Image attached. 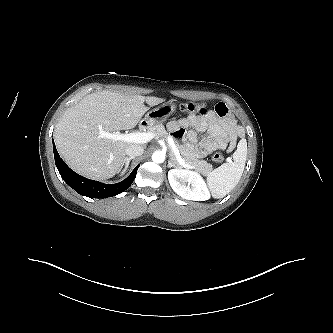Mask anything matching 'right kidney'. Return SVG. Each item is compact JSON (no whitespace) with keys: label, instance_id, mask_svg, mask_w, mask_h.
<instances>
[{"label":"right kidney","instance_id":"right-kidney-1","mask_svg":"<svg viewBox=\"0 0 333 333\" xmlns=\"http://www.w3.org/2000/svg\"><path fill=\"white\" fill-rule=\"evenodd\" d=\"M126 168H127V167H125V169L123 170L122 174L125 172Z\"/></svg>","mask_w":333,"mask_h":333}]
</instances>
